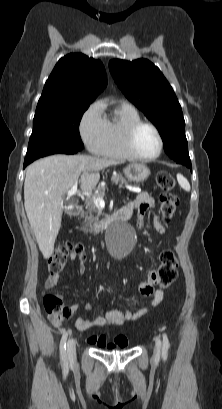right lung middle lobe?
<instances>
[{
  "mask_svg": "<svg viewBox=\"0 0 222 409\" xmlns=\"http://www.w3.org/2000/svg\"><path fill=\"white\" fill-rule=\"evenodd\" d=\"M89 104H66L36 109L26 163L51 154H74L83 149L79 123Z\"/></svg>",
  "mask_w": 222,
  "mask_h": 409,
  "instance_id": "1",
  "label": "right lung middle lobe"
}]
</instances>
